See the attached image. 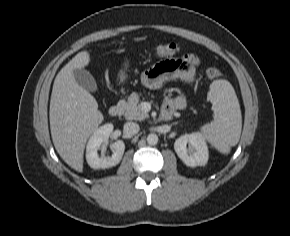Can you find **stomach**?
Returning a JSON list of instances; mask_svg holds the SVG:
<instances>
[{
	"mask_svg": "<svg viewBox=\"0 0 290 236\" xmlns=\"http://www.w3.org/2000/svg\"><path fill=\"white\" fill-rule=\"evenodd\" d=\"M128 67H129V63L126 62V63L124 64V68L121 69L120 72H119V78H120V80H121L122 82L126 79V71H127Z\"/></svg>",
	"mask_w": 290,
	"mask_h": 236,
	"instance_id": "1",
	"label": "stomach"
}]
</instances>
